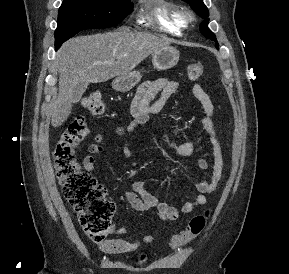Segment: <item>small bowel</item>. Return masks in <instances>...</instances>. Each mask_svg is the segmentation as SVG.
<instances>
[{
  "mask_svg": "<svg viewBox=\"0 0 289 274\" xmlns=\"http://www.w3.org/2000/svg\"><path fill=\"white\" fill-rule=\"evenodd\" d=\"M179 89L177 81L160 78L157 80L144 83L136 94L132 102V114L134 121L127 127L118 126L115 129L117 135H131L135 128L143 125L150 120H156L158 115L165 107L167 100L175 94ZM194 97L199 101L203 110L201 124L208 136V142L211 146L212 162L206 157H200L197 161L199 168L206 170L211 166V174L209 178L202 179L196 184V197L185 202L181 207L177 208L167 202L160 201L156 196L151 194L145 187L143 181L133 183L131 190H124L123 196L129 202L131 207L139 212H145L152 209L157 210L159 218L162 221H175L183 215L191 213L195 208L204 206L207 203V195L214 192L224 173V159L220 141L217 136L214 124V105L201 85L195 84L192 88ZM159 135L164 145L177 157L185 158L194 154L199 144L197 141H187L178 143L172 140L163 129H159ZM94 143L88 147L87 155L83 160V167L87 171H92L95 167V158L93 155L103 152L102 143L104 136L98 134L94 138ZM124 154L128 156L130 151L126 149ZM111 233L124 235L127 229L124 227L113 228ZM156 235H145L140 240L128 241L122 238H110L102 240L98 243L100 251L106 255L125 254L138 250L142 244H149L156 240Z\"/></svg>",
  "mask_w": 289,
  "mask_h": 274,
  "instance_id": "small-bowel-1",
  "label": "small bowel"
}]
</instances>
